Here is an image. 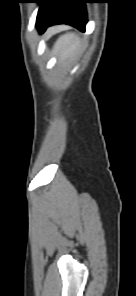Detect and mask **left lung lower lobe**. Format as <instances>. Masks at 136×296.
Returning a JSON list of instances; mask_svg holds the SVG:
<instances>
[{"label":"left lung lower lobe","mask_w":136,"mask_h":296,"mask_svg":"<svg viewBox=\"0 0 136 296\" xmlns=\"http://www.w3.org/2000/svg\"><path fill=\"white\" fill-rule=\"evenodd\" d=\"M85 3H91V1L54 0L46 17L36 22L37 29L43 33L51 25L68 24L84 32L87 23Z\"/></svg>","instance_id":"obj_1"}]
</instances>
